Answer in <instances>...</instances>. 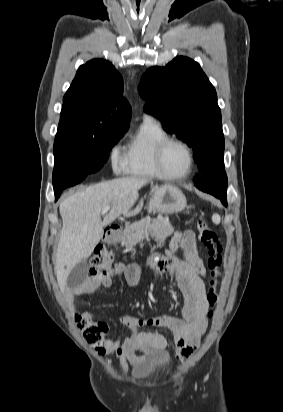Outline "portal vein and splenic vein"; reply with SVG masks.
<instances>
[{"instance_id": "1", "label": "portal vein and splenic vein", "mask_w": 283, "mask_h": 412, "mask_svg": "<svg viewBox=\"0 0 283 412\" xmlns=\"http://www.w3.org/2000/svg\"><path fill=\"white\" fill-rule=\"evenodd\" d=\"M110 210V206H106L102 210V214H106Z\"/></svg>"}]
</instances>
